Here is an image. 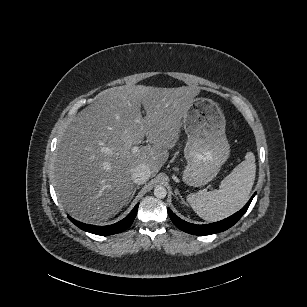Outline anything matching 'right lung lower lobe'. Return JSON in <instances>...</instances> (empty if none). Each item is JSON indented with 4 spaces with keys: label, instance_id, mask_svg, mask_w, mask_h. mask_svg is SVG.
Listing matches in <instances>:
<instances>
[{
    "label": "right lung lower lobe",
    "instance_id": "obj_1",
    "mask_svg": "<svg viewBox=\"0 0 307 307\" xmlns=\"http://www.w3.org/2000/svg\"><path fill=\"white\" fill-rule=\"evenodd\" d=\"M138 206H139V203L133 208V210L130 212V214H128L123 220H121V221H119L115 224L108 225V226H94V225L81 223V222L76 221L75 219H73L69 216H68V218L76 226H78L79 228H81L84 231H87V232H90V233H93V234H97V235H102V236L113 235V234L123 232L127 228L130 227V225L132 224V222L134 221V219L136 217Z\"/></svg>",
    "mask_w": 307,
    "mask_h": 307
}]
</instances>
